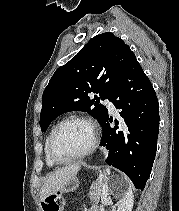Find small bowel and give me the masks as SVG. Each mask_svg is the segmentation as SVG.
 Instances as JSON below:
<instances>
[{
	"instance_id": "1",
	"label": "small bowel",
	"mask_w": 179,
	"mask_h": 211,
	"mask_svg": "<svg viewBox=\"0 0 179 211\" xmlns=\"http://www.w3.org/2000/svg\"><path fill=\"white\" fill-rule=\"evenodd\" d=\"M90 211H99L97 207H92Z\"/></svg>"
}]
</instances>
